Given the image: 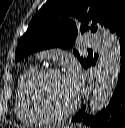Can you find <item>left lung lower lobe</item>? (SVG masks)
<instances>
[{
    "instance_id": "0a47b994",
    "label": "left lung lower lobe",
    "mask_w": 125,
    "mask_h": 128,
    "mask_svg": "<svg viewBox=\"0 0 125 128\" xmlns=\"http://www.w3.org/2000/svg\"><path fill=\"white\" fill-rule=\"evenodd\" d=\"M120 44V73L117 86L106 109L95 116H88L83 107L72 119L73 122L82 121L93 128H123L125 124V24L116 32ZM95 61L90 66H94ZM89 66V67H90Z\"/></svg>"
}]
</instances>
